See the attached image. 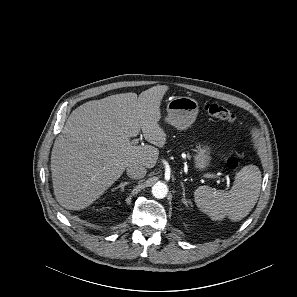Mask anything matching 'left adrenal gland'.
<instances>
[{
    "label": "left adrenal gland",
    "mask_w": 297,
    "mask_h": 297,
    "mask_svg": "<svg viewBox=\"0 0 297 297\" xmlns=\"http://www.w3.org/2000/svg\"><path fill=\"white\" fill-rule=\"evenodd\" d=\"M180 183H181V187H182V195H183V197H182V202L187 206L188 203H190V201H187V199H186L185 187H184L183 182H180Z\"/></svg>",
    "instance_id": "obj_1"
}]
</instances>
